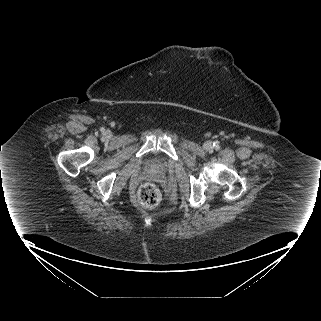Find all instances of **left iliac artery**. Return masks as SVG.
Here are the masks:
<instances>
[{"mask_svg": "<svg viewBox=\"0 0 321 321\" xmlns=\"http://www.w3.org/2000/svg\"><path fill=\"white\" fill-rule=\"evenodd\" d=\"M213 146L217 148L219 145L216 143H213Z\"/></svg>", "mask_w": 321, "mask_h": 321, "instance_id": "left-iliac-artery-1", "label": "left iliac artery"}]
</instances>
